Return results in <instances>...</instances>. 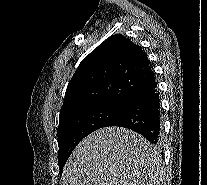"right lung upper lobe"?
<instances>
[{
	"mask_svg": "<svg viewBox=\"0 0 207 185\" xmlns=\"http://www.w3.org/2000/svg\"><path fill=\"white\" fill-rule=\"evenodd\" d=\"M154 81L141 47L121 34L113 35L79 64L66 89L59 121L103 104L122 107Z\"/></svg>",
	"mask_w": 207,
	"mask_h": 185,
	"instance_id": "obj_1",
	"label": "right lung upper lobe"
}]
</instances>
